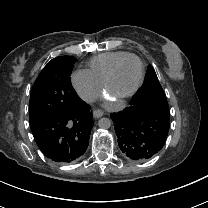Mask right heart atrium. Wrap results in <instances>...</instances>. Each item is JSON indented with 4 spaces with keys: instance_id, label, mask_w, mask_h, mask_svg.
<instances>
[{
    "instance_id": "obj_1",
    "label": "right heart atrium",
    "mask_w": 208,
    "mask_h": 208,
    "mask_svg": "<svg viewBox=\"0 0 208 208\" xmlns=\"http://www.w3.org/2000/svg\"><path fill=\"white\" fill-rule=\"evenodd\" d=\"M71 81L84 101L95 103L101 100L102 87L97 84L87 72H73L71 75Z\"/></svg>"
}]
</instances>
